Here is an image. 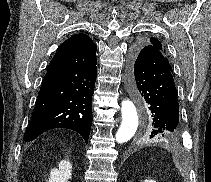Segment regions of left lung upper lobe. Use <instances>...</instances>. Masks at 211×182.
<instances>
[{
  "instance_id": "1",
  "label": "left lung upper lobe",
  "mask_w": 211,
  "mask_h": 182,
  "mask_svg": "<svg viewBox=\"0 0 211 182\" xmlns=\"http://www.w3.org/2000/svg\"><path fill=\"white\" fill-rule=\"evenodd\" d=\"M144 41H145V43H146L147 45H149V46L152 47L153 49H155V50L161 52V53L165 56L167 65H168L169 69L172 71V66H171V64L169 63L168 58L166 57V51H165V49L162 47L161 42H160L157 38H154V37H150V38H148V39H144ZM172 73H173V72H172Z\"/></svg>"
}]
</instances>
